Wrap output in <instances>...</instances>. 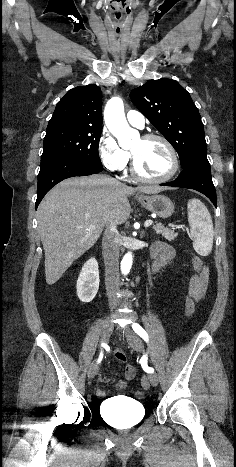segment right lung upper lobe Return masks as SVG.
<instances>
[{
	"label": "right lung upper lobe",
	"instance_id": "1",
	"mask_svg": "<svg viewBox=\"0 0 236 467\" xmlns=\"http://www.w3.org/2000/svg\"><path fill=\"white\" fill-rule=\"evenodd\" d=\"M102 92L94 84L69 90L57 103L47 128L69 126L102 129Z\"/></svg>",
	"mask_w": 236,
	"mask_h": 467
}]
</instances>
